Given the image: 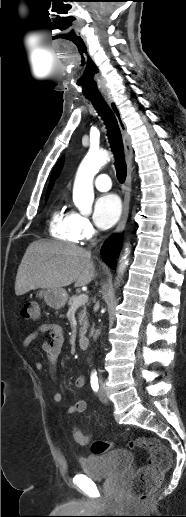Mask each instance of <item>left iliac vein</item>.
I'll return each mask as SVG.
<instances>
[{
  "label": "left iliac vein",
  "mask_w": 186,
  "mask_h": 517,
  "mask_svg": "<svg viewBox=\"0 0 186 517\" xmlns=\"http://www.w3.org/2000/svg\"><path fill=\"white\" fill-rule=\"evenodd\" d=\"M98 394H99V399H100L101 402H103V403H107L108 402V399H107V396H106V393H105V389H104L102 384L100 386Z\"/></svg>",
  "instance_id": "obj_1"
}]
</instances>
